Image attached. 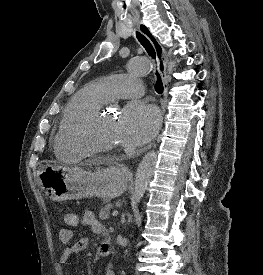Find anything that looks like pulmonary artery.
Masks as SVG:
<instances>
[{
  "label": "pulmonary artery",
  "instance_id": "1",
  "mask_svg": "<svg viewBox=\"0 0 263 275\" xmlns=\"http://www.w3.org/2000/svg\"><path fill=\"white\" fill-rule=\"evenodd\" d=\"M99 85L108 101L116 98H137L145 92L142 82L128 74L104 77L99 81Z\"/></svg>",
  "mask_w": 263,
  "mask_h": 275
}]
</instances>
